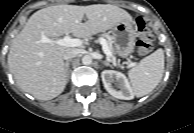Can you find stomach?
Segmentation results:
<instances>
[{
  "instance_id": "1",
  "label": "stomach",
  "mask_w": 194,
  "mask_h": 133,
  "mask_svg": "<svg viewBox=\"0 0 194 133\" xmlns=\"http://www.w3.org/2000/svg\"><path fill=\"white\" fill-rule=\"evenodd\" d=\"M112 39L116 53L123 58L134 51L136 33L133 21L125 19L111 28Z\"/></svg>"
}]
</instances>
